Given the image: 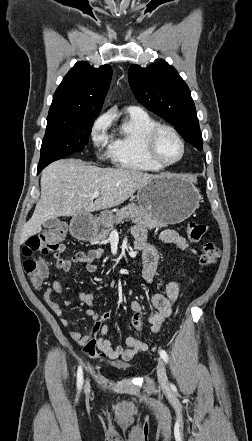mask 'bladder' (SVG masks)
<instances>
[{
    "mask_svg": "<svg viewBox=\"0 0 252 441\" xmlns=\"http://www.w3.org/2000/svg\"><path fill=\"white\" fill-rule=\"evenodd\" d=\"M114 367L119 368V369H126V368H128L129 366L126 365V364H119V363H116V364H114Z\"/></svg>",
    "mask_w": 252,
    "mask_h": 441,
    "instance_id": "bladder-1",
    "label": "bladder"
}]
</instances>
